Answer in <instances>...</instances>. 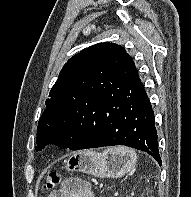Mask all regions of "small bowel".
Returning a JSON list of instances; mask_svg holds the SVG:
<instances>
[{
    "instance_id": "1",
    "label": "small bowel",
    "mask_w": 191,
    "mask_h": 197,
    "mask_svg": "<svg viewBox=\"0 0 191 197\" xmlns=\"http://www.w3.org/2000/svg\"><path fill=\"white\" fill-rule=\"evenodd\" d=\"M49 197H95L90 186L80 181H68L64 186Z\"/></svg>"
}]
</instances>
